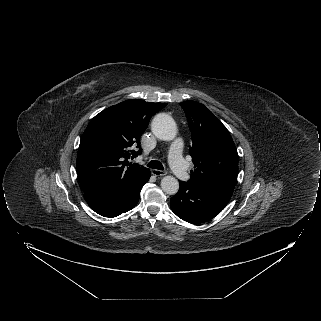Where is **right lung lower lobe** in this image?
<instances>
[{
	"mask_svg": "<svg viewBox=\"0 0 321 321\" xmlns=\"http://www.w3.org/2000/svg\"><path fill=\"white\" fill-rule=\"evenodd\" d=\"M151 172L129 184H117L100 187L84 192V197L96 213L104 217H116L134 208L140 196L142 186L149 180Z\"/></svg>",
	"mask_w": 321,
	"mask_h": 321,
	"instance_id": "right-lung-lower-lobe-1",
	"label": "right lung lower lobe"
}]
</instances>
